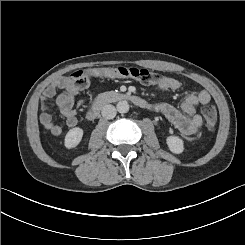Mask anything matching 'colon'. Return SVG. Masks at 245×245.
Returning <instances> with one entry per match:
<instances>
[{
  "instance_id": "1",
  "label": "colon",
  "mask_w": 245,
  "mask_h": 245,
  "mask_svg": "<svg viewBox=\"0 0 245 245\" xmlns=\"http://www.w3.org/2000/svg\"><path fill=\"white\" fill-rule=\"evenodd\" d=\"M92 78H130L146 85H158L163 77L157 72L138 67H112L92 70H79L71 74L69 82L77 89H84ZM202 116L208 129H214L217 123V111L214 106L202 108Z\"/></svg>"
}]
</instances>
